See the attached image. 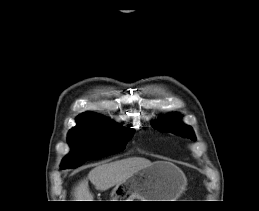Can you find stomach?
I'll return each instance as SVG.
<instances>
[{
  "mask_svg": "<svg viewBox=\"0 0 259 211\" xmlns=\"http://www.w3.org/2000/svg\"><path fill=\"white\" fill-rule=\"evenodd\" d=\"M185 188L183 173L173 164L154 162L113 189L112 201H174Z\"/></svg>",
  "mask_w": 259,
  "mask_h": 211,
  "instance_id": "1",
  "label": "stomach"
}]
</instances>
